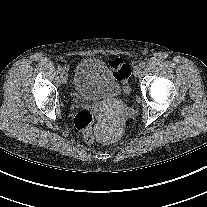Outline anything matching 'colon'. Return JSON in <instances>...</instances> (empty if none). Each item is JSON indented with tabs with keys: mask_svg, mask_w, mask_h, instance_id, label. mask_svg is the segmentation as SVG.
<instances>
[{
	"mask_svg": "<svg viewBox=\"0 0 207 207\" xmlns=\"http://www.w3.org/2000/svg\"><path fill=\"white\" fill-rule=\"evenodd\" d=\"M110 68L114 72L115 76L123 84V90L128 92V79L131 75V68L121 59H116L110 63ZM94 122V115L89 110L79 111L74 119V123L77 129L83 133V138L86 143L94 144L96 142L95 134L92 130Z\"/></svg>",
	"mask_w": 207,
	"mask_h": 207,
	"instance_id": "colon-1",
	"label": "colon"
}]
</instances>
